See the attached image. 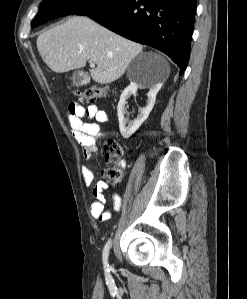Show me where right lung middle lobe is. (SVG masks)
I'll list each match as a JSON object with an SVG mask.
<instances>
[{
  "mask_svg": "<svg viewBox=\"0 0 247 299\" xmlns=\"http://www.w3.org/2000/svg\"><path fill=\"white\" fill-rule=\"evenodd\" d=\"M124 0H43L32 28L48 20L65 15H89L113 6Z\"/></svg>",
  "mask_w": 247,
  "mask_h": 299,
  "instance_id": "1",
  "label": "right lung middle lobe"
}]
</instances>
